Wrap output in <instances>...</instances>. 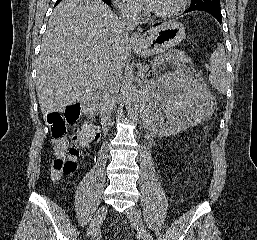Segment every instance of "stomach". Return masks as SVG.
<instances>
[{"mask_svg": "<svg viewBox=\"0 0 257 240\" xmlns=\"http://www.w3.org/2000/svg\"><path fill=\"white\" fill-rule=\"evenodd\" d=\"M185 38V28L181 23L169 21L149 32L142 44H134L133 49L140 55L162 53L178 45Z\"/></svg>", "mask_w": 257, "mask_h": 240, "instance_id": "1", "label": "stomach"}]
</instances>
